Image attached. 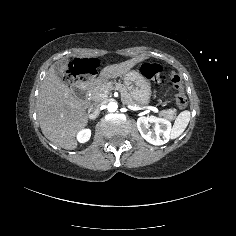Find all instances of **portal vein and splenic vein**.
Returning a JSON list of instances; mask_svg holds the SVG:
<instances>
[{
	"mask_svg": "<svg viewBox=\"0 0 236 236\" xmlns=\"http://www.w3.org/2000/svg\"><path fill=\"white\" fill-rule=\"evenodd\" d=\"M125 108H128V105H125ZM150 110V111H153V112H157V108L155 106H150V105H147V106H130V110L131 111H134V110Z\"/></svg>",
	"mask_w": 236,
	"mask_h": 236,
	"instance_id": "obj_1",
	"label": "portal vein and splenic vein"
}]
</instances>
